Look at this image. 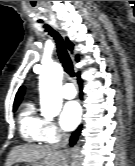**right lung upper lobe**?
Here are the masks:
<instances>
[{"label": "right lung upper lobe", "mask_w": 135, "mask_h": 166, "mask_svg": "<svg viewBox=\"0 0 135 166\" xmlns=\"http://www.w3.org/2000/svg\"><path fill=\"white\" fill-rule=\"evenodd\" d=\"M66 42H67V47H68V49H69L70 51H72V50H73V47H74L73 43L70 42L68 39H66ZM76 61H79V57H78V56H76ZM23 95H24V87L21 86V87L19 88L17 94H16V97H15V100H14V106L20 104Z\"/></svg>", "instance_id": "obj_1"}]
</instances>
